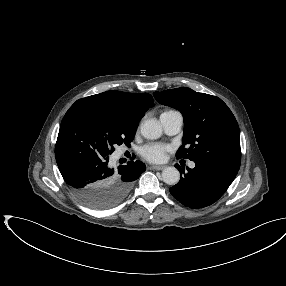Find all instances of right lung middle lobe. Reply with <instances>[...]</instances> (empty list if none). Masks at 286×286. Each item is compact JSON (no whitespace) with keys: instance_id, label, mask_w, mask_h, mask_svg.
<instances>
[{"instance_id":"dd1d6c3e","label":"right lung middle lobe","mask_w":286,"mask_h":286,"mask_svg":"<svg viewBox=\"0 0 286 286\" xmlns=\"http://www.w3.org/2000/svg\"><path fill=\"white\" fill-rule=\"evenodd\" d=\"M61 123L75 129L107 154H112L116 145H130L136 131L135 126L110 107L82 100L70 107Z\"/></svg>"}]
</instances>
